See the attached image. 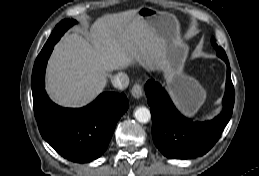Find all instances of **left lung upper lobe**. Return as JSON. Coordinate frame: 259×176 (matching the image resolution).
I'll list each match as a JSON object with an SVG mask.
<instances>
[{"instance_id": "1", "label": "left lung upper lobe", "mask_w": 259, "mask_h": 176, "mask_svg": "<svg viewBox=\"0 0 259 176\" xmlns=\"http://www.w3.org/2000/svg\"><path fill=\"white\" fill-rule=\"evenodd\" d=\"M212 42H214V46L217 49V55L222 59L227 58L224 50L215 43L214 39H212Z\"/></svg>"}]
</instances>
